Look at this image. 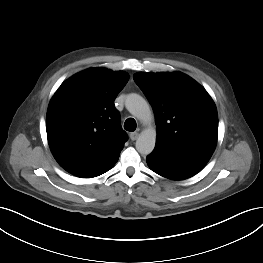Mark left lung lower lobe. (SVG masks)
Wrapping results in <instances>:
<instances>
[{"mask_svg": "<svg viewBox=\"0 0 263 263\" xmlns=\"http://www.w3.org/2000/svg\"><path fill=\"white\" fill-rule=\"evenodd\" d=\"M211 155L203 151L176 150L156 145L146 160L155 173L168 179L183 180L197 174Z\"/></svg>", "mask_w": 263, "mask_h": 263, "instance_id": "obj_1", "label": "left lung lower lobe"}]
</instances>
